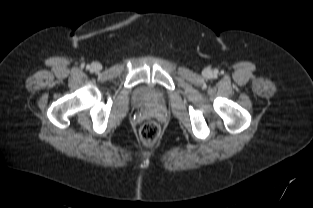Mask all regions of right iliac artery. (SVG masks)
I'll use <instances>...</instances> for the list:
<instances>
[{
  "mask_svg": "<svg viewBox=\"0 0 313 208\" xmlns=\"http://www.w3.org/2000/svg\"><path fill=\"white\" fill-rule=\"evenodd\" d=\"M87 69H91V67L88 65V66H87Z\"/></svg>",
  "mask_w": 313,
  "mask_h": 208,
  "instance_id": "right-iliac-artery-1",
  "label": "right iliac artery"
}]
</instances>
